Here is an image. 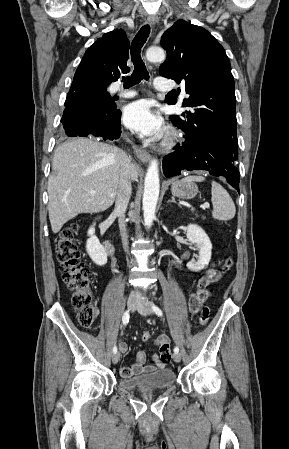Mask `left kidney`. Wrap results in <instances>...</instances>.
<instances>
[{"label":"left kidney","mask_w":289,"mask_h":449,"mask_svg":"<svg viewBox=\"0 0 289 449\" xmlns=\"http://www.w3.org/2000/svg\"><path fill=\"white\" fill-rule=\"evenodd\" d=\"M187 238L199 250L198 260L195 261L192 259L187 264V268L191 271L198 272L209 264L212 244L205 231L195 224H189L187 226Z\"/></svg>","instance_id":"left-kidney-1"}]
</instances>
